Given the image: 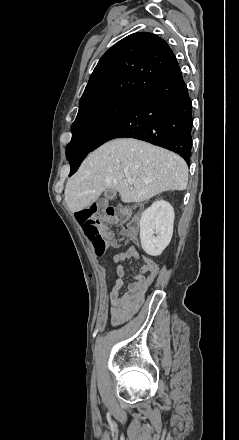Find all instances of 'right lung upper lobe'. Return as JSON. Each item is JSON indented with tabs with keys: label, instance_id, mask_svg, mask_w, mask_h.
<instances>
[{
	"label": "right lung upper lobe",
	"instance_id": "right-lung-upper-lobe-1",
	"mask_svg": "<svg viewBox=\"0 0 239 440\" xmlns=\"http://www.w3.org/2000/svg\"><path fill=\"white\" fill-rule=\"evenodd\" d=\"M178 64L168 44L155 34H131L101 57L79 102V111L116 97H137Z\"/></svg>",
	"mask_w": 239,
	"mask_h": 440
}]
</instances>
